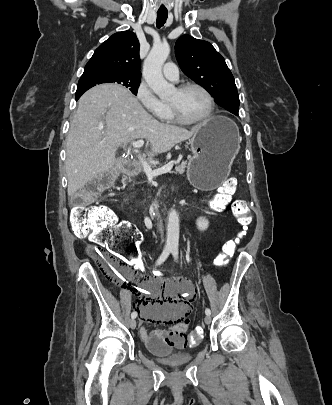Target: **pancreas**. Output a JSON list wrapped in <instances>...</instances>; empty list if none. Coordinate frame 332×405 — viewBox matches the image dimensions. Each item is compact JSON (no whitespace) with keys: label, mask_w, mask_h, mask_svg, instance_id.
I'll use <instances>...</instances> for the list:
<instances>
[{"label":"pancreas","mask_w":332,"mask_h":405,"mask_svg":"<svg viewBox=\"0 0 332 405\" xmlns=\"http://www.w3.org/2000/svg\"><path fill=\"white\" fill-rule=\"evenodd\" d=\"M185 168H186V164L182 163V164L176 166L175 173L182 175L184 173Z\"/></svg>","instance_id":"pancreas-1"}]
</instances>
